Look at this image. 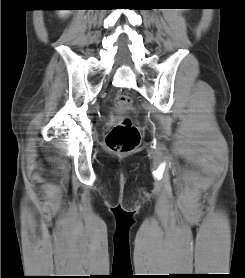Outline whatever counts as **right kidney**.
<instances>
[{"mask_svg": "<svg viewBox=\"0 0 245 278\" xmlns=\"http://www.w3.org/2000/svg\"><path fill=\"white\" fill-rule=\"evenodd\" d=\"M59 12L61 15H65V14L69 13L70 10H60Z\"/></svg>", "mask_w": 245, "mask_h": 278, "instance_id": "1", "label": "right kidney"}]
</instances>
